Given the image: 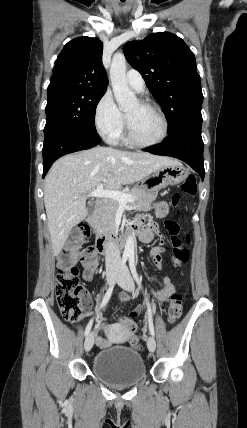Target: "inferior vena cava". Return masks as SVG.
Masks as SVG:
<instances>
[{
	"instance_id": "inferior-vena-cava-1",
	"label": "inferior vena cava",
	"mask_w": 247,
	"mask_h": 428,
	"mask_svg": "<svg viewBox=\"0 0 247 428\" xmlns=\"http://www.w3.org/2000/svg\"><path fill=\"white\" fill-rule=\"evenodd\" d=\"M106 268H118L121 264V254L117 244L113 240H108L105 246Z\"/></svg>"
}]
</instances>
